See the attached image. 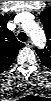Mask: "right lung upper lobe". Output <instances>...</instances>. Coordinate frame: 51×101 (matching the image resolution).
Wrapping results in <instances>:
<instances>
[{"label":"right lung upper lobe","mask_w":51,"mask_h":101,"mask_svg":"<svg viewBox=\"0 0 51 101\" xmlns=\"http://www.w3.org/2000/svg\"><path fill=\"white\" fill-rule=\"evenodd\" d=\"M8 20V14L0 15V72H3L12 64L19 50L25 46L8 30Z\"/></svg>","instance_id":"obj_1"}]
</instances>
